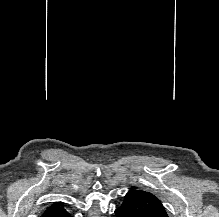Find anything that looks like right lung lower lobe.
Segmentation results:
<instances>
[{
    "label": "right lung lower lobe",
    "instance_id": "right-lung-lower-lobe-1",
    "mask_svg": "<svg viewBox=\"0 0 219 217\" xmlns=\"http://www.w3.org/2000/svg\"><path fill=\"white\" fill-rule=\"evenodd\" d=\"M42 217H72V216L65 208H62L52 213H46Z\"/></svg>",
    "mask_w": 219,
    "mask_h": 217
}]
</instances>
